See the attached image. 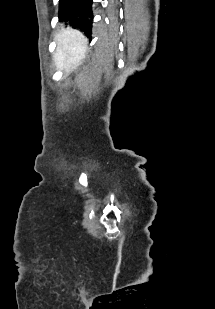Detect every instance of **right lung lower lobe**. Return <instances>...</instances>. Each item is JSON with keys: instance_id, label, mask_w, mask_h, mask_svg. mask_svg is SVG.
Masks as SVG:
<instances>
[{"instance_id": "1", "label": "right lung lower lobe", "mask_w": 215, "mask_h": 309, "mask_svg": "<svg viewBox=\"0 0 215 309\" xmlns=\"http://www.w3.org/2000/svg\"><path fill=\"white\" fill-rule=\"evenodd\" d=\"M93 0H59V21L69 23L91 37Z\"/></svg>"}]
</instances>
